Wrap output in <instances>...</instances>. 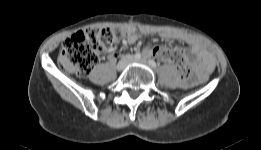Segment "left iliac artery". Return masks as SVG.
<instances>
[{"label":"left iliac artery","mask_w":261,"mask_h":150,"mask_svg":"<svg viewBox=\"0 0 261 150\" xmlns=\"http://www.w3.org/2000/svg\"><path fill=\"white\" fill-rule=\"evenodd\" d=\"M148 63H149V65H150L152 68H156V67H157L156 62H155L153 59H149V60H148Z\"/></svg>","instance_id":"1"}]
</instances>
